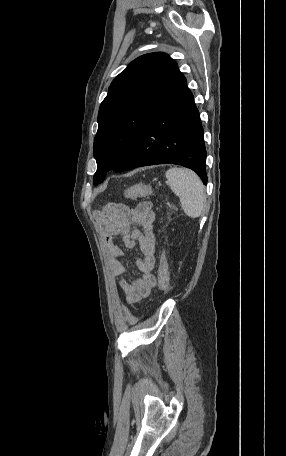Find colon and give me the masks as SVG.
I'll return each mask as SVG.
<instances>
[{
	"instance_id": "obj_1",
	"label": "colon",
	"mask_w": 286,
	"mask_h": 456,
	"mask_svg": "<svg viewBox=\"0 0 286 456\" xmlns=\"http://www.w3.org/2000/svg\"><path fill=\"white\" fill-rule=\"evenodd\" d=\"M152 191V187L145 184L133 185L126 189L125 196L128 198H137L148 195ZM111 205H108L110 208ZM159 288L166 292L169 289V272L166 259L163 257L160 262L159 272H158Z\"/></svg>"
}]
</instances>
